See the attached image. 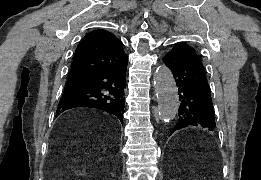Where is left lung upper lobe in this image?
<instances>
[{
  "label": "left lung upper lobe",
  "mask_w": 261,
  "mask_h": 180,
  "mask_svg": "<svg viewBox=\"0 0 261 180\" xmlns=\"http://www.w3.org/2000/svg\"><path fill=\"white\" fill-rule=\"evenodd\" d=\"M185 45V44H184ZM186 46H188V45H186ZM188 47H190V46H188ZM191 49H192V51L195 53V50L192 48V47H190ZM196 54V53H195ZM197 55V54H196ZM198 58V57H197Z\"/></svg>",
  "instance_id": "1"
}]
</instances>
